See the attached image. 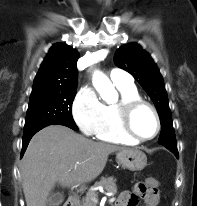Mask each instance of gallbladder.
Instances as JSON below:
<instances>
[{
  "label": "gallbladder",
  "mask_w": 197,
  "mask_h": 206,
  "mask_svg": "<svg viewBox=\"0 0 197 206\" xmlns=\"http://www.w3.org/2000/svg\"><path fill=\"white\" fill-rule=\"evenodd\" d=\"M64 201L63 193L54 190L50 193L46 206H59Z\"/></svg>",
  "instance_id": "obj_1"
}]
</instances>
